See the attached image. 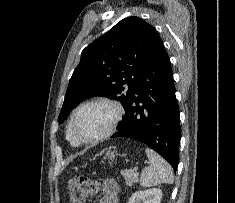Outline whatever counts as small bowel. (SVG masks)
<instances>
[{
  "mask_svg": "<svg viewBox=\"0 0 235 203\" xmlns=\"http://www.w3.org/2000/svg\"><path fill=\"white\" fill-rule=\"evenodd\" d=\"M119 185L111 178L103 181V196L99 203H118Z\"/></svg>",
  "mask_w": 235,
  "mask_h": 203,
  "instance_id": "c3829d8e",
  "label": "small bowel"
}]
</instances>
